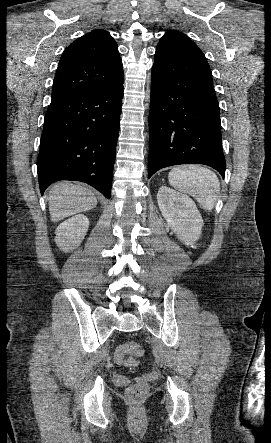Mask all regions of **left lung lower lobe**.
Wrapping results in <instances>:
<instances>
[{
	"mask_svg": "<svg viewBox=\"0 0 271 443\" xmlns=\"http://www.w3.org/2000/svg\"><path fill=\"white\" fill-rule=\"evenodd\" d=\"M180 164H204L223 177L219 104L205 57L157 48L151 77L148 177Z\"/></svg>",
	"mask_w": 271,
	"mask_h": 443,
	"instance_id": "left-lung-lower-lobe-1",
	"label": "left lung lower lobe"
}]
</instances>
